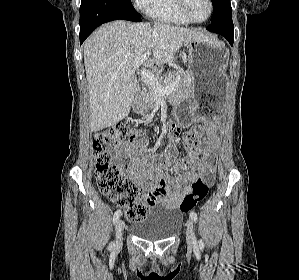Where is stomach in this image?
<instances>
[{
	"label": "stomach",
	"instance_id": "1",
	"mask_svg": "<svg viewBox=\"0 0 299 280\" xmlns=\"http://www.w3.org/2000/svg\"><path fill=\"white\" fill-rule=\"evenodd\" d=\"M189 50L188 78L191 82L189 105L182 108L185 121L202 116H220L226 101L225 70L228 66L229 51L225 45L214 38L186 42Z\"/></svg>",
	"mask_w": 299,
	"mask_h": 280
}]
</instances>
